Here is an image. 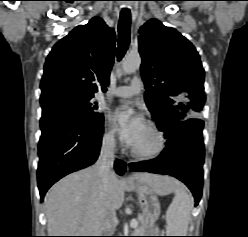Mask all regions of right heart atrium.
I'll return each instance as SVG.
<instances>
[{"mask_svg":"<svg viewBox=\"0 0 248 237\" xmlns=\"http://www.w3.org/2000/svg\"><path fill=\"white\" fill-rule=\"evenodd\" d=\"M102 142L107 148L114 149L117 146L115 132L112 129L107 128L103 134Z\"/></svg>","mask_w":248,"mask_h":237,"instance_id":"1","label":"right heart atrium"}]
</instances>
